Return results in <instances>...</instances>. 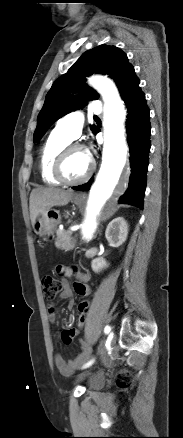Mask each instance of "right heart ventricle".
Wrapping results in <instances>:
<instances>
[{"label":"right heart ventricle","mask_w":183,"mask_h":438,"mask_svg":"<svg viewBox=\"0 0 183 438\" xmlns=\"http://www.w3.org/2000/svg\"><path fill=\"white\" fill-rule=\"evenodd\" d=\"M71 141L70 138L56 129L46 139L42 146L39 160L40 174L45 184L49 186L59 185V182L52 175L53 164L58 153L70 144Z\"/></svg>","instance_id":"1"}]
</instances>
